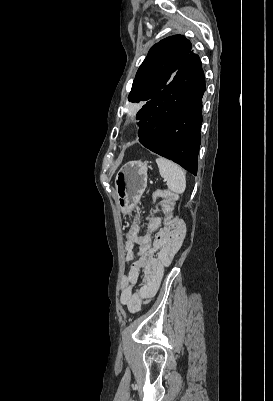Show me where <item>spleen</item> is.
<instances>
[{
	"instance_id": "3e777b00",
	"label": "spleen",
	"mask_w": 273,
	"mask_h": 401,
	"mask_svg": "<svg viewBox=\"0 0 273 401\" xmlns=\"http://www.w3.org/2000/svg\"><path fill=\"white\" fill-rule=\"evenodd\" d=\"M156 162L159 166V172L163 178L167 180V186L176 194H181L186 188V178L185 174L178 164L172 162V160H167V158H156Z\"/></svg>"
}]
</instances>
